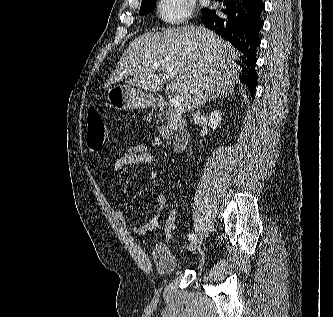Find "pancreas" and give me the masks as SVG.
I'll list each match as a JSON object with an SVG mask.
<instances>
[{"mask_svg": "<svg viewBox=\"0 0 333 317\" xmlns=\"http://www.w3.org/2000/svg\"><path fill=\"white\" fill-rule=\"evenodd\" d=\"M166 115V118H163L162 114L159 115V118L162 120V122L165 120L168 121L167 126L162 125L159 129V133L163 139H168L170 136H172L175 127L183 123L181 116L173 110L167 111Z\"/></svg>", "mask_w": 333, "mask_h": 317, "instance_id": "obj_1", "label": "pancreas"}]
</instances>
